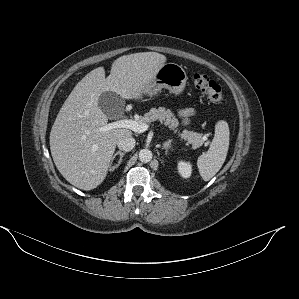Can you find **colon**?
I'll return each mask as SVG.
<instances>
[{
  "label": "colon",
  "instance_id": "obj_1",
  "mask_svg": "<svg viewBox=\"0 0 299 299\" xmlns=\"http://www.w3.org/2000/svg\"><path fill=\"white\" fill-rule=\"evenodd\" d=\"M194 86L199 89L206 98L214 103L224 101L225 96L221 86L207 74L196 72L191 76Z\"/></svg>",
  "mask_w": 299,
  "mask_h": 299
}]
</instances>
